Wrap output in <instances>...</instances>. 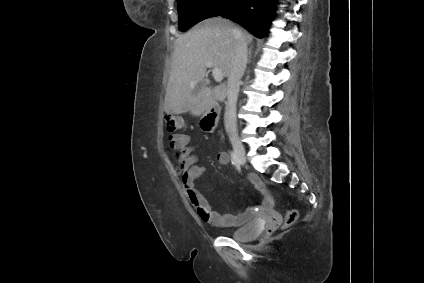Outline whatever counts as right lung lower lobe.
Returning a JSON list of instances; mask_svg holds the SVG:
<instances>
[{
	"instance_id": "right-lung-lower-lobe-1",
	"label": "right lung lower lobe",
	"mask_w": 424,
	"mask_h": 283,
	"mask_svg": "<svg viewBox=\"0 0 424 283\" xmlns=\"http://www.w3.org/2000/svg\"><path fill=\"white\" fill-rule=\"evenodd\" d=\"M276 0H235L232 6L219 16L242 25L258 38L268 32L275 14Z\"/></svg>"
}]
</instances>
